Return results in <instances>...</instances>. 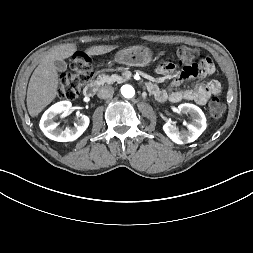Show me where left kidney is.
Here are the masks:
<instances>
[{
	"mask_svg": "<svg viewBox=\"0 0 253 253\" xmlns=\"http://www.w3.org/2000/svg\"><path fill=\"white\" fill-rule=\"evenodd\" d=\"M177 112L190 115L192 122L187 125L188 130L179 131L175 125L167 122L163 125L164 132L176 144L195 141L207 126L203 111L194 104L184 103L178 106Z\"/></svg>",
	"mask_w": 253,
	"mask_h": 253,
	"instance_id": "5707ae66",
	"label": "left kidney"
}]
</instances>
